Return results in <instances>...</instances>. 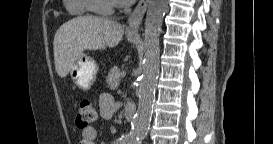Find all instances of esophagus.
<instances>
[{"mask_svg":"<svg viewBox=\"0 0 273 144\" xmlns=\"http://www.w3.org/2000/svg\"><path fill=\"white\" fill-rule=\"evenodd\" d=\"M149 0H140L128 18L127 34L137 36L140 24L145 15Z\"/></svg>","mask_w":273,"mask_h":144,"instance_id":"obj_1","label":"esophagus"}]
</instances>
